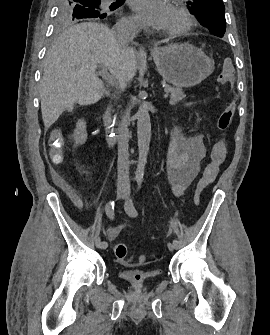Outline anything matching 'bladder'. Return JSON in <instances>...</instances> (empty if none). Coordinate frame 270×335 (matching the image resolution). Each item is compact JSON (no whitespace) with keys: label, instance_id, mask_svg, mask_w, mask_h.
Instances as JSON below:
<instances>
[{"label":"bladder","instance_id":"bladder-1","mask_svg":"<svg viewBox=\"0 0 270 335\" xmlns=\"http://www.w3.org/2000/svg\"><path fill=\"white\" fill-rule=\"evenodd\" d=\"M157 273H151L148 270L139 269V270H128L120 273V277L123 281L132 284L135 288L139 285L147 286L153 282L156 278Z\"/></svg>","mask_w":270,"mask_h":335}]
</instances>
